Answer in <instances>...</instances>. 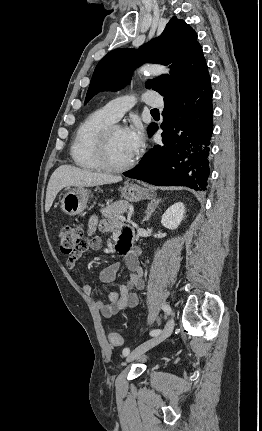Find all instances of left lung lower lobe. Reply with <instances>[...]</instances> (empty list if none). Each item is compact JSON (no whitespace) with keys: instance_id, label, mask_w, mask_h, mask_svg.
Here are the masks:
<instances>
[{"instance_id":"1","label":"left lung lower lobe","mask_w":262,"mask_h":431,"mask_svg":"<svg viewBox=\"0 0 262 431\" xmlns=\"http://www.w3.org/2000/svg\"><path fill=\"white\" fill-rule=\"evenodd\" d=\"M210 77L190 91L164 98L162 143L154 145L126 177L156 186L205 190L213 131ZM158 129L154 124L149 136Z\"/></svg>"}]
</instances>
